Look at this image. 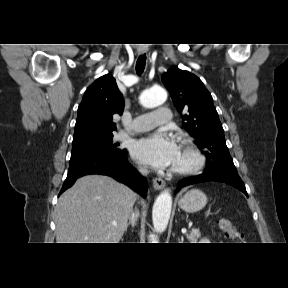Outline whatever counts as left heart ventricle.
<instances>
[{
  "label": "left heart ventricle",
  "mask_w": 288,
  "mask_h": 288,
  "mask_svg": "<svg viewBox=\"0 0 288 288\" xmlns=\"http://www.w3.org/2000/svg\"><path fill=\"white\" fill-rule=\"evenodd\" d=\"M188 161L187 157L185 156V154L183 153L182 149H179V155L177 158L176 163L174 164V166H179V165H183Z\"/></svg>",
  "instance_id": "obj_1"
}]
</instances>
